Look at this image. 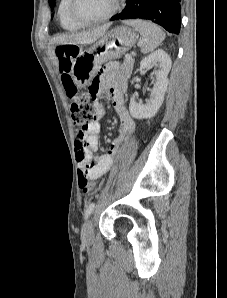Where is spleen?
Instances as JSON below:
<instances>
[{
  "instance_id": "1",
  "label": "spleen",
  "mask_w": 227,
  "mask_h": 298,
  "mask_svg": "<svg viewBox=\"0 0 227 298\" xmlns=\"http://www.w3.org/2000/svg\"><path fill=\"white\" fill-rule=\"evenodd\" d=\"M125 23L134 27L141 34L144 42L141 46V52L144 54L155 50L165 39L163 30L151 22L137 19L127 20Z\"/></svg>"
}]
</instances>
